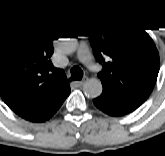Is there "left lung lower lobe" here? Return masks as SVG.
Masks as SVG:
<instances>
[{
    "label": "left lung lower lobe",
    "instance_id": "1",
    "mask_svg": "<svg viewBox=\"0 0 165 156\" xmlns=\"http://www.w3.org/2000/svg\"><path fill=\"white\" fill-rule=\"evenodd\" d=\"M93 103L98 109L110 116H124L137 109L118 100L104 89L102 94L93 100Z\"/></svg>",
    "mask_w": 165,
    "mask_h": 156
}]
</instances>
